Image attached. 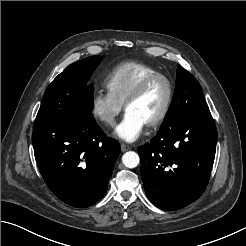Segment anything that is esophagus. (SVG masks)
<instances>
[{"label": "esophagus", "instance_id": "obj_1", "mask_svg": "<svg viewBox=\"0 0 246 246\" xmlns=\"http://www.w3.org/2000/svg\"><path fill=\"white\" fill-rule=\"evenodd\" d=\"M130 149H131V147L129 145L124 144V143L121 144V151L122 152H125V151L130 150Z\"/></svg>", "mask_w": 246, "mask_h": 246}]
</instances>
